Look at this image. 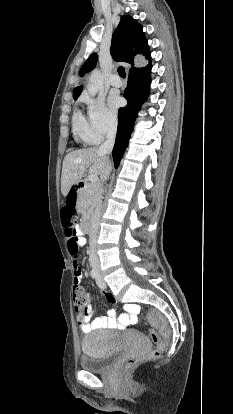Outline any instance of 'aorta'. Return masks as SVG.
<instances>
[{
	"label": "aorta",
	"instance_id": "762f6f07",
	"mask_svg": "<svg viewBox=\"0 0 233 414\" xmlns=\"http://www.w3.org/2000/svg\"><path fill=\"white\" fill-rule=\"evenodd\" d=\"M103 87V76L100 70L95 69L91 72L89 81L87 84V90L90 95L95 96L98 91Z\"/></svg>",
	"mask_w": 233,
	"mask_h": 414
}]
</instances>
